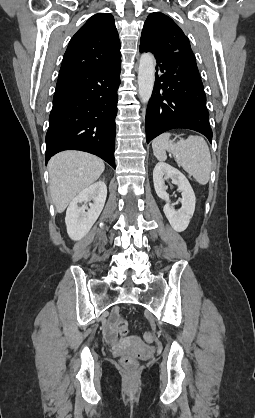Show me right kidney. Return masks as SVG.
I'll list each match as a JSON object with an SVG mask.
<instances>
[{
    "label": "right kidney",
    "mask_w": 255,
    "mask_h": 418,
    "mask_svg": "<svg viewBox=\"0 0 255 418\" xmlns=\"http://www.w3.org/2000/svg\"><path fill=\"white\" fill-rule=\"evenodd\" d=\"M106 197V184L98 181L82 190L71 201L66 211L65 223L67 233L72 240H80L90 231L103 210ZM91 200L93 203H90ZM88 202L89 209L86 205ZM80 203L84 205L80 207Z\"/></svg>",
    "instance_id": "obj_1"
}]
</instances>
